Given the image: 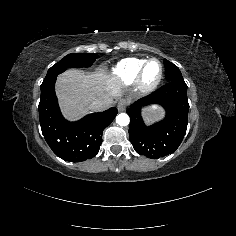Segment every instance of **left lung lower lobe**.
<instances>
[{"instance_id":"left-lung-lower-lobe-1","label":"left lung lower lobe","mask_w":236,"mask_h":236,"mask_svg":"<svg viewBox=\"0 0 236 236\" xmlns=\"http://www.w3.org/2000/svg\"><path fill=\"white\" fill-rule=\"evenodd\" d=\"M159 104L166 110L165 118L146 126L141 109ZM189 104L184 80L169 81L152 94L136 101L127 109L130 116L129 139L135 151L151 159L173 153L181 144L187 129Z\"/></svg>"}]
</instances>
